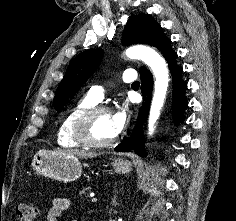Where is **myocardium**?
Segmentation results:
<instances>
[{"label": "myocardium", "mask_w": 236, "mask_h": 221, "mask_svg": "<svg viewBox=\"0 0 236 221\" xmlns=\"http://www.w3.org/2000/svg\"><path fill=\"white\" fill-rule=\"evenodd\" d=\"M111 113L110 109L104 105H95L90 109L86 110L76 121L73 130L74 139L85 147L90 148H104L113 145L118 136H115L106 141L96 140L91 133L92 124L95 118L103 113Z\"/></svg>", "instance_id": "1"}]
</instances>
